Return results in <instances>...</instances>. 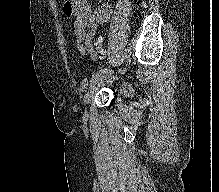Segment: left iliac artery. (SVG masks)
Segmentation results:
<instances>
[{
	"mask_svg": "<svg viewBox=\"0 0 219 192\" xmlns=\"http://www.w3.org/2000/svg\"><path fill=\"white\" fill-rule=\"evenodd\" d=\"M106 71H107V68H106V67H105V68H101V69H99L98 71H96V72L92 75L91 82H92L97 76L103 74V73L106 72ZM87 85H88V81H84L83 87L85 88V87H87Z\"/></svg>",
	"mask_w": 219,
	"mask_h": 192,
	"instance_id": "44dca946",
	"label": "left iliac artery"
}]
</instances>
